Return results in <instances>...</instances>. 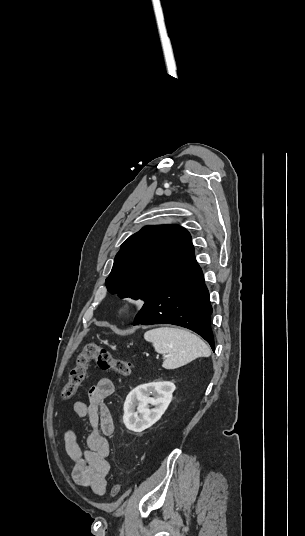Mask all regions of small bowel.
<instances>
[{
    "mask_svg": "<svg viewBox=\"0 0 305 536\" xmlns=\"http://www.w3.org/2000/svg\"><path fill=\"white\" fill-rule=\"evenodd\" d=\"M114 383L103 378L89 390L88 402L77 401L73 410L78 418H87L93 430L87 437V449L83 450L73 428L64 435L65 450L73 462L72 477L80 485L89 487L95 494L104 495L110 464L107 457L110 445L107 437L113 432V421L105 399L113 394Z\"/></svg>",
    "mask_w": 305,
    "mask_h": 536,
    "instance_id": "c3829d8e",
    "label": "small bowel"
}]
</instances>
